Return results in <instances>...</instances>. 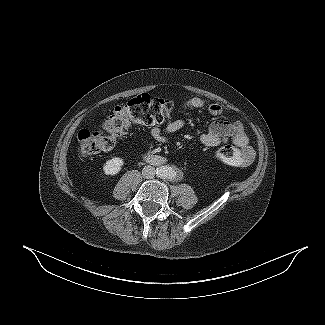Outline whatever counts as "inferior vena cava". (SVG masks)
I'll return each instance as SVG.
<instances>
[{"label": "inferior vena cava", "mask_w": 325, "mask_h": 325, "mask_svg": "<svg viewBox=\"0 0 325 325\" xmlns=\"http://www.w3.org/2000/svg\"><path fill=\"white\" fill-rule=\"evenodd\" d=\"M156 174V169L153 166L147 165L142 169V176L146 179H152Z\"/></svg>", "instance_id": "1"}]
</instances>
